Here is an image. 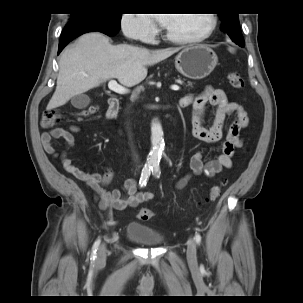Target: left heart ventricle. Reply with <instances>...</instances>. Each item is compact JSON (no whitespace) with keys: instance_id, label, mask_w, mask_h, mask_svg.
Segmentation results:
<instances>
[{"instance_id":"1","label":"left heart ventricle","mask_w":303,"mask_h":303,"mask_svg":"<svg viewBox=\"0 0 303 303\" xmlns=\"http://www.w3.org/2000/svg\"><path fill=\"white\" fill-rule=\"evenodd\" d=\"M166 30L179 37L196 36L203 33L210 25L208 14H171Z\"/></svg>"}]
</instances>
